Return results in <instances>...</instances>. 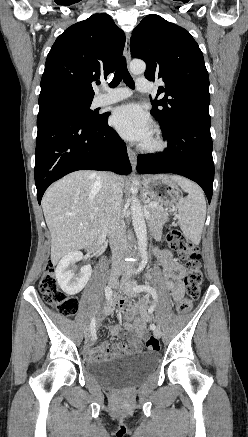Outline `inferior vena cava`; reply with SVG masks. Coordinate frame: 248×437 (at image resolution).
I'll use <instances>...</instances> for the list:
<instances>
[{
  "label": "inferior vena cava",
  "instance_id": "602c4592",
  "mask_svg": "<svg viewBox=\"0 0 248 437\" xmlns=\"http://www.w3.org/2000/svg\"><path fill=\"white\" fill-rule=\"evenodd\" d=\"M106 205L104 227L108 228L112 250V266L127 267L123 254L127 249L126 226L121 214L122 187L114 173H104Z\"/></svg>",
  "mask_w": 248,
  "mask_h": 437
}]
</instances>
